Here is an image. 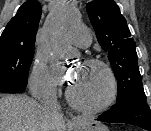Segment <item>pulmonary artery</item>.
<instances>
[{
  "label": "pulmonary artery",
  "instance_id": "obj_1",
  "mask_svg": "<svg viewBox=\"0 0 151 131\" xmlns=\"http://www.w3.org/2000/svg\"><path fill=\"white\" fill-rule=\"evenodd\" d=\"M72 42L78 47L86 48L92 42V35L87 28L76 27L72 32Z\"/></svg>",
  "mask_w": 151,
  "mask_h": 131
}]
</instances>
